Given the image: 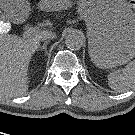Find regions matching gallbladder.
Segmentation results:
<instances>
[{
  "label": "gallbladder",
  "instance_id": "gallbladder-1",
  "mask_svg": "<svg viewBox=\"0 0 135 135\" xmlns=\"http://www.w3.org/2000/svg\"><path fill=\"white\" fill-rule=\"evenodd\" d=\"M0 2H1V0H0ZM1 14H2V12L0 11V20H2V18H1ZM5 21V20H4Z\"/></svg>",
  "mask_w": 135,
  "mask_h": 135
}]
</instances>
